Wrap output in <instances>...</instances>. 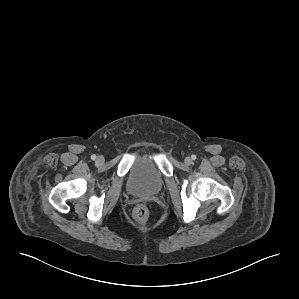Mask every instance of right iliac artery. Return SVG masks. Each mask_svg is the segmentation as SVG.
I'll use <instances>...</instances> for the list:
<instances>
[{
    "mask_svg": "<svg viewBox=\"0 0 299 299\" xmlns=\"http://www.w3.org/2000/svg\"><path fill=\"white\" fill-rule=\"evenodd\" d=\"M91 159H92V160H95V159H96V155L93 154V155L91 156Z\"/></svg>",
    "mask_w": 299,
    "mask_h": 299,
    "instance_id": "obj_1",
    "label": "right iliac artery"
}]
</instances>
